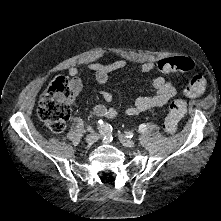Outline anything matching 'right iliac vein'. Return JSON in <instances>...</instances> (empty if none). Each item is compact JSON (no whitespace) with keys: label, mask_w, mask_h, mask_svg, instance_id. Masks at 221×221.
I'll return each mask as SVG.
<instances>
[{"label":"right iliac vein","mask_w":221,"mask_h":221,"mask_svg":"<svg viewBox=\"0 0 221 221\" xmlns=\"http://www.w3.org/2000/svg\"><path fill=\"white\" fill-rule=\"evenodd\" d=\"M99 139L98 135L96 133H91V134H88L86 137H85V140L87 143H95L97 140Z\"/></svg>","instance_id":"63e3f726"}]
</instances>
